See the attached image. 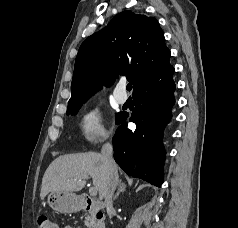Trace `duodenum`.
<instances>
[{"instance_id":"duodenum-1","label":"duodenum","mask_w":238,"mask_h":228,"mask_svg":"<svg viewBox=\"0 0 238 228\" xmlns=\"http://www.w3.org/2000/svg\"><path fill=\"white\" fill-rule=\"evenodd\" d=\"M78 205L81 210L95 212L94 214L95 228H105V223L103 220L104 206L102 204L97 203L89 196L82 195L78 199Z\"/></svg>"}]
</instances>
